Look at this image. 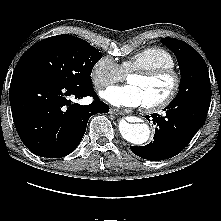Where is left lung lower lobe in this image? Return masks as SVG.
Masks as SVG:
<instances>
[{
    "label": "left lung lower lobe",
    "mask_w": 221,
    "mask_h": 221,
    "mask_svg": "<svg viewBox=\"0 0 221 221\" xmlns=\"http://www.w3.org/2000/svg\"><path fill=\"white\" fill-rule=\"evenodd\" d=\"M211 90L200 92L192 98L171 102L164 110L165 116L152 114L156 125L154 141L142 147L131 146L134 154L147 160H164L179 154L204 125L210 106ZM150 116H146L149 119Z\"/></svg>",
    "instance_id": "0a47b994"
}]
</instances>
